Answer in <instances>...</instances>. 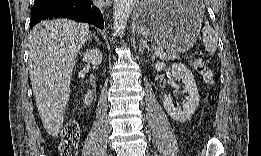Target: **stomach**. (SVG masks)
Instances as JSON below:
<instances>
[{
  "mask_svg": "<svg viewBox=\"0 0 261 156\" xmlns=\"http://www.w3.org/2000/svg\"><path fill=\"white\" fill-rule=\"evenodd\" d=\"M203 10L197 2L138 3L134 19L144 38L167 49L187 51L197 39L202 25Z\"/></svg>",
  "mask_w": 261,
  "mask_h": 156,
  "instance_id": "0dacf381",
  "label": "stomach"
}]
</instances>
